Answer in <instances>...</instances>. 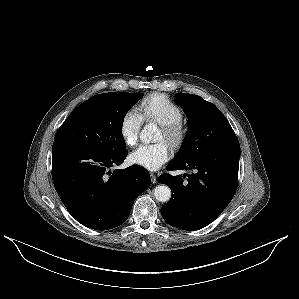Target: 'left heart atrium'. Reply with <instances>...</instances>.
Masks as SVG:
<instances>
[{
  "label": "left heart atrium",
  "mask_w": 299,
  "mask_h": 299,
  "mask_svg": "<svg viewBox=\"0 0 299 299\" xmlns=\"http://www.w3.org/2000/svg\"><path fill=\"white\" fill-rule=\"evenodd\" d=\"M170 148L166 141L141 144L130 153V161L148 170L160 168L169 158Z\"/></svg>",
  "instance_id": "left-heart-atrium-1"
}]
</instances>
